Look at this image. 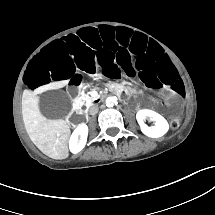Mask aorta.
<instances>
[{"label": "aorta", "instance_id": "762f6f07", "mask_svg": "<svg viewBox=\"0 0 215 215\" xmlns=\"http://www.w3.org/2000/svg\"><path fill=\"white\" fill-rule=\"evenodd\" d=\"M106 102L109 106H113L117 103V98L114 96H110L107 98Z\"/></svg>", "mask_w": 215, "mask_h": 215}]
</instances>
